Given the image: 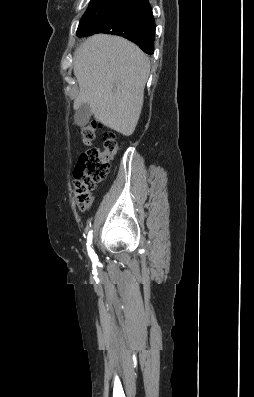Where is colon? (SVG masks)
<instances>
[{
	"instance_id": "1",
	"label": "colon",
	"mask_w": 254,
	"mask_h": 397,
	"mask_svg": "<svg viewBox=\"0 0 254 397\" xmlns=\"http://www.w3.org/2000/svg\"><path fill=\"white\" fill-rule=\"evenodd\" d=\"M99 125L95 122L81 129L82 141L90 145L95 138ZM116 136L111 131H105L103 150L91 148L82 153L74 170V187L77 205L81 211H86L92 202L91 192L95 186L104 180L109 172L110 160L118 151Z\"/></svg>"
}]
</instances>
